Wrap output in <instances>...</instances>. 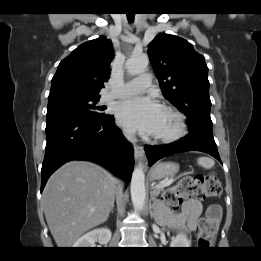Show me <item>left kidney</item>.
<instances>
[{
  "label": "left kidney",
  "mask_w": 261,
  "mask_h": 261,
  "mask_svg": "<svg viewBox=\"0 0 261 261\" xmlns=\"http://www.w3.org/2000/svg\"><path fill=\"white\" fill-rule=\"evenodd\" d=\"M191 242L184 234H178L172 239L170 246L175 248H187L190 247Z\"/></svg>",
  "instance_id": "left-kidney-1"
}]
</instances>
